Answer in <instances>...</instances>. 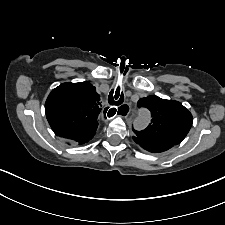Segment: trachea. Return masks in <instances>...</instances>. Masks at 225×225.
<instances>
[{
	"label": "trachea",
	"mask_w": 225,
	"mask_h": 225,
	"mask_svg": "<svg viewBox=\"0 0 225 225\" xmlns=\"http://www.w3.org/2000/svg\"><path fill=\"white\" fill-rule=\"evenodd\" d=\"M124 101V95L123 93L121 92L120 93V89L118 88L115 92L114 90H112L110 93H109V96H108V102L110 105H121ZM125 106L122 105L120 108H119V111L122 110ZM111 111V112H110ZM108 112V115L111 117L113 116L115 113H116V108H112Z\"/></svg>",
	"instance_id": "trachea-1"
}]
</instances>
